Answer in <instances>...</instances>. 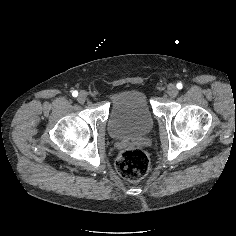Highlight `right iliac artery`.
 Listing matches in <instances>:
<instances>
[{
	"label": "right iliac artery",
	"instance_id": "82829eb1",
	"mask_svg": "<svg viewBox=\"0 0 236 236\" xmlns=\"http://www.w3.org/2000/svg\"><path fill=\"white\" fill-rule=\"evenodd\" d=\"M72 96H73V97H77V96H78V91H76V90L73 91V92H72Z\"/></svg>",
	"mask_w": 236,
	"mask_h": 236
}]
</instances>
